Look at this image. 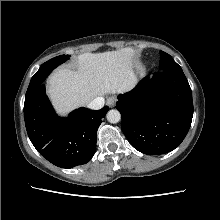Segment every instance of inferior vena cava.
Segmentation results:
<instances>
[{
    "instance_id": "602c4592",
    "label": "inferior vena cava",
    "mask_w": 220,
    "mask_h": 220,
    "mask_svg": "<svg viewBox=\"0 0 220 220\" xmlns=\"http://www.w3.org/2000/svg\"><path fill=\"white\" fill-rule=\"evenodd\" d=\"M104 106V98L96 97L91 102L88 103L87 107L92 110L101 109Z\"/></svg>"
}]
</instances>
